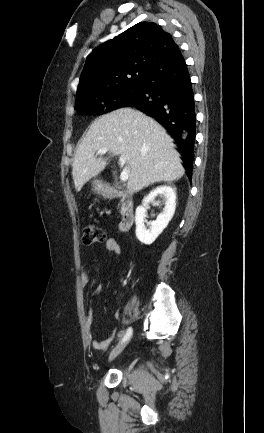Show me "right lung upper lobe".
<instances>
[{"label": "right lung upper lobe", "instance_id": "obj_1", "mask_svg": "<svg viewBox=\"0 0 264 433\" xmlns=\"http://www.w3.org/2000/svg\"><path fill=\"white\" fill-rule=\"evenodd\" d=\"M178 50L171 35L160 26L140 22L97 47L87 57L76 101L124 85L140 84Z\"/></svg>", "mask_w": 264, "mask_h": 433}]
</instances>
